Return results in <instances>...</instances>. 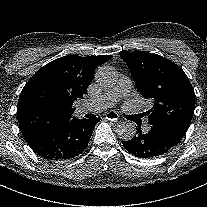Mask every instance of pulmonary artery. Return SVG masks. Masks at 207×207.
<instances>
[{
	"mask_svg": "<svg viewBox=\"0 0 207 207\" xmlns=\"http://www.w3.org/2000/svg\"><path fill=\"white\" fill-rule=\"evenodd\" d=\"M131 89V80L128 77L121 76L117 85L110 91L103 93L96 98H90L85 102V108L88 112H102L113 107L122 97L129 94ZM148 129V126L145 127Z\"/></svg>",
	"mask_w": 207,
	"mask_h": 207,
	"instance_id": "1",
	"label": "pulmonary artery"
}]
</instances>
